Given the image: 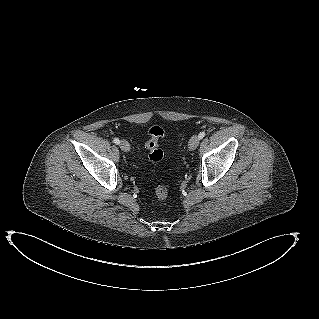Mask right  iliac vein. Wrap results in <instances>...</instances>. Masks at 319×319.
<instances>
[{
	"label": "right iliac vein",
	"mask_w": 319,
	"mask_h": 319,
	"mask_svg": "<svg viewBox=\"0 0 319 319\" xmlns=\"http://www.w3.org/2000/svg\"><path fill=\"white\" fill-rule=\"evenodd\" d=\"M119 146L121 150L124 152H128L130 150V144L126 140H122Z\"/></svg>",
	"instance_id": "right-iliac-vein-1"
}]
</instances>
